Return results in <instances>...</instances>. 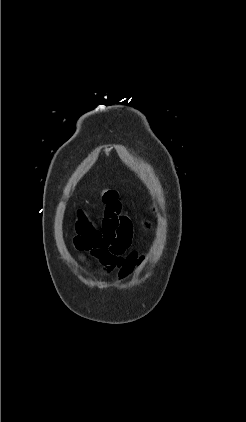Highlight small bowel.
I'll return each mask as SVG.
<instances>
[{
	"label": "small bowel",
	"mask_w": 246,
	"mask_h": 422,
	"mask_svg": "<svg viewBox=\"0 0 246 422\" xmlns=\"http://www.w3.org/2000/svg\"><path fill=\"white\" fill-rule=\"evenodd\" d=\"M133 236V225L129 217L121 213V204L106 206L100 228L81 232L75 238V247L88 252L97 259L106 271L117 270L123 280L133 271L137 254L127 253Z\"/></svg>",
	"instance_id": "obj_1"
}]
</instances>
